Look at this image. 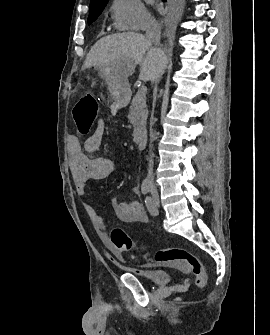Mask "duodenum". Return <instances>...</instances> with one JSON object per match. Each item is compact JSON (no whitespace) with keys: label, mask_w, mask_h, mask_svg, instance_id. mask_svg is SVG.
Instances as JSON below:
<instances>
[{"label":"duodenum","mask_w":270,"mask_h":335,"mask_svg":"<svg viewBox=\"0 0 270 335\" xmlns=\"http://www.w3.org/2000/svg\"><path fill=\"white\" fill-rule=\"evenodd\" d=\"M135 143L140 150H144L147 146V138L143 134H139L135 138Z\"/></svg>","instance_id":"1"}]
</instances>
